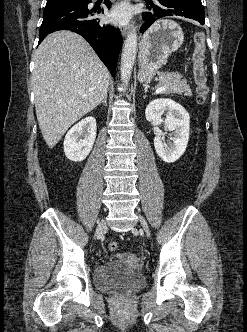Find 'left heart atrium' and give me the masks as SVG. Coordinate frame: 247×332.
Here are the masks:
<instances>
[{"mask_svg": "<svg viewBox=\"0 0 247 332\" xmlns=\"http://www.w3.org/2000/svg\"><path fill=\"white\" fill-rule=\"evenodd\" d=\"M108 18L113 23L124 24L130 18V10L125 4L117 5L110 11Z\"/></svg>", "mask_w": 247, "mask_h": 332, "instance_id": "obj_1", "label": "left heart atrium"}]
</instances>
